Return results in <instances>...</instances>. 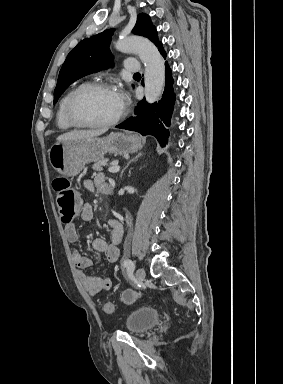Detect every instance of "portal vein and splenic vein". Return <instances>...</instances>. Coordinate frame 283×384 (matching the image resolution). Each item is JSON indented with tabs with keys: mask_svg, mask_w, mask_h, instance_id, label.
Returning a JSON list of instances; mask_svg holds the SVG:
<instances>
[{
	"mask_svg": "<svg viewBox=\"0 0 283 384\" xmlns=\"http://www.w3.org/2000/svg\"><path fill=\"white\" fill-rule=\"evenodd\" d=\"M120 168L119 166H117V164H113L112 168H109V172H111V174H116V172H119Z\"/></svg>",
	"mask_w": 283,
	"mask_h": 384,
	"instance_id": "1",
	"label": "portal vein and splenic vein"
}]
</instances>
